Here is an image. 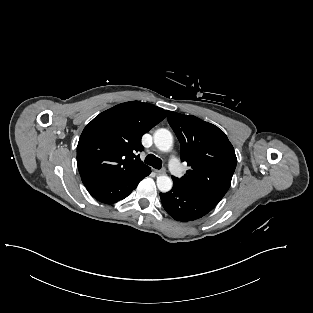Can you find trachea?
Segmentation results:
<instances>
[{"instance_id":"3493384b","label":"trachea","mask_w":313,"mask_h":313,"mask_svg":"<svg viewBox=\"0 0 313 313\" xmlns=\"http://www.w3.org/2000/svg\"><path fill=\"white\" fill-rule=\"evenodd\" d=\"M145 163L156 169H160L162 167L161 159L153 154L147 155V157L145 158Z\"/></svg>"}]
</instances>
